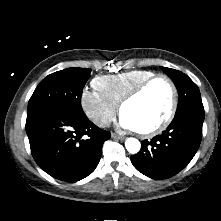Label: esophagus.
<instances>
[{"label": "esophagus", "instance_id": "1", "mask_svg": "<svg viewBox=\"0 0 221 221\" xmlns=\"http://www.w3.org/2000/svg\"><path fill=\"white\" fill-rule=\"evenodd\" d=\"M112 138H115V139H120V140H123L125 137L124 136H121V135H118V134H115V133H112Z\"/></svg>", "mask_w": 221, "mask_h": 221}]
</instances>
